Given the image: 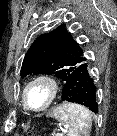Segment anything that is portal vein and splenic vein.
Returning a JSON list of instances; mask_svg holds the SVG:
<instances>
[{
  "mask_svg": "<svg viewBox=\"0 0 117 136\" xmlns=\"http://www.w3.org/2000/svg\"><path fill=\"white\" fill-rule=\"evenodd\" d=\"M55 136H59V134H58V133H56V134H55Z\"/></svg>",
  "mask_w": 117,
  "mask_h": 136,
  "instance_id": "portal-vein-and-splenic-vein-1",
  "label": "portal vein and splenic vein"
}]
</instances>
